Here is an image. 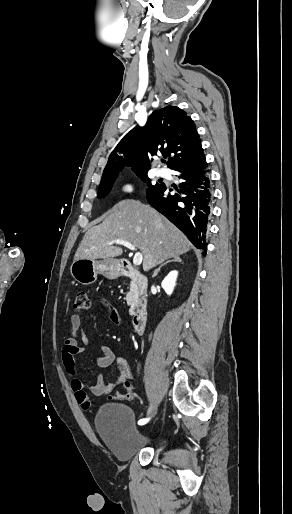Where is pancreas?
Segmentation results:
<instances>
[{"mask_svg": "<svg viewBox=\"0 0 292 514\" xmlns=\"http://www.w3.org/2000/svg\"><path fill=\"white\" fill-rule=\"evenodd\" d=\"M126 302L128 306H130L129 314L130 316H134L135 308L138 306L139 296H138V286L136 284H131V290L128 292L126 296Z\"/></svg>", "mask_w": 292, "mask_h": 514, "instance_id": "cf45deb5", "label": "pancreas"}]
</instances>
